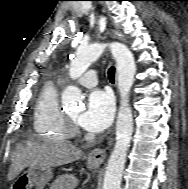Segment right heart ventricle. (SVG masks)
Here are the masks:
<instances>
[{
    "label": "right heart ventricle",
    "mask_w": 188,
    "mask_h": 189,
    "mask_svg": "<svg viewBox=\"0 0 188 189\" xmlns=\"http://www.w3.org/2000/svg\"><path fill=\"white\" fill-rule=\"evenodd\" d=\"M33 128L38 135L54 142H64L68 137L65 114L58 101V89L52 82H46L37 96Z\"/></svg>",
    "instance_id": "e07e8e85"
}]
</instances>
